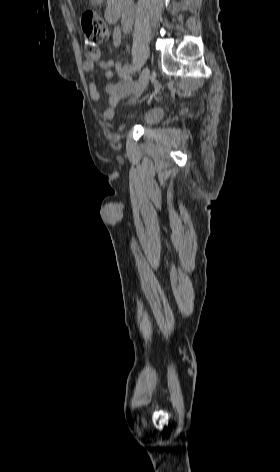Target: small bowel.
<instances>
[{
  "label": "small bowel",
  "instance_id": "obj_1",
  "mask_svg": "<svg viewBox=\"0 0 280 472\" xmlns=\"http://www.w3.org/2000/svg\"><path fill=\"white\" fill-rule=\"evenodd\" d=\"M95 66L100 67L105 71L106 79L110 80L113 77V71H117L119 75L123 77V80L118 83L107 82L104 86V91L108 96L109 108L103 109V117L109 120L113 117V108L117 105L119 99L132 91L134 88L132 79L123 73V67L119 62L112 59L101 60L100 55L96 54L91 58H87L82 65L85 72H90ZM89 94L93 101L98 102L100 100V93L97 85L91 82L89 85Z\"/></svg>",
  "mask_w": 280,
  "mask_h": 472
}]
</instances>
